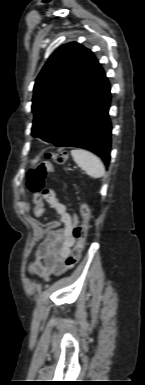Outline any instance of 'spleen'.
I'll use <instances>...</instances> for the list:
<instances>
[{
  "label": "spleen",
  "mask_w": 145,
  "mask_h": 385,
  "mask_svg": "<svg viewBox=\"0 0 145 385\" xmlns=\"http://www.w3.org/2000/svg\"><path fill=\"white\" fill-rule=\"evenodd\" d=\"M71 155L75 163L85 172L93 177L100 178L105 174V168L102 161L92 152L84 149L71 150Z\"/></svg>",
  "instance_id": "1"
}]
</instances>
